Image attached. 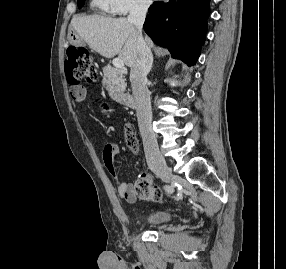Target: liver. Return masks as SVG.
Instances as JSON below:
<instances>
[{"label":"liver","mask_w":286,"mask_h":269,"mask_svg":"<svg viewBox=\"0 0 286 269\" xmlns=\"http://www.w3.org/2000/svg\"><path fill=\"white\" fill-rule=\"evenodd\" d=\"M71 27L90 48L106 58H118L133 68L139 59L138 34L132 22L126 18H111L99 15L75 16ZM149 48L153 42L146 37Z\"/></svg>","instance_id":"6515ba94"}]
</instances>
